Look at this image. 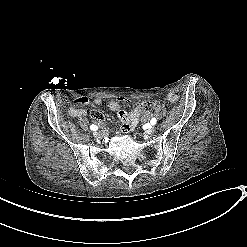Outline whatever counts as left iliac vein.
I'll use <instances>...</instances> for the list:
<instances>
[{
  "label": "left iliac vein",
  "mask_w": 247,
  "mask_h": 247,
  "mask_svg": "<svg viewBox=\"0 0 247 247\" xmlns=\"http://www.w3.org/2000/svg\"><path fill=\"white\" fill-rule=\"evenodd\" d=\"M153 131H154V127H150V128H148V129L145 131V134H146V135H150V134L153 133Z\"/></svg>",
  "instance_id": "4c4485c4"
}]
</instances>
